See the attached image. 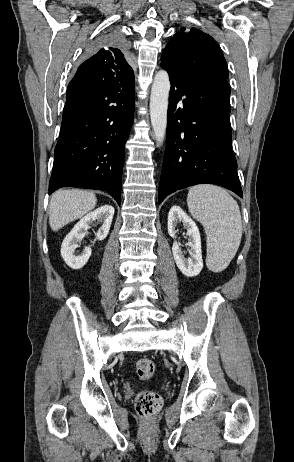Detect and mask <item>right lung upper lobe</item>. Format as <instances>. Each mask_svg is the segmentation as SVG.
I'll return each mask as SVG.
<instances>
[{"label":"right lung upper lobe","instance_id":"1","mask_svg":"<svg viewBox=\"0 0 294 462\" xmlns=\"http://www.w3.org/2000/svg\"><path fill=\"white\" fill-rule=\"evenodd\" d=\"M134 75L123 53L105 47L83 62L68 85L67 94L82 95L95 90L114 87Z\"/></svg>","mask_w":294,"mask_h":462}]
</instances>
